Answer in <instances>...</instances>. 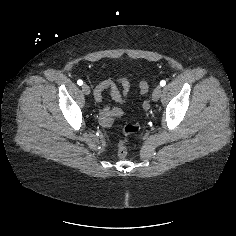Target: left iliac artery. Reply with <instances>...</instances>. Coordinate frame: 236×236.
<instances>
[{"label": "left iliac artery", "instance_id": "obj_1", "mask_svg": "<svg viewBox=\"0 0 236 236\" xmlns=\"http://www.w3.org/2000/svg\"><path fill=\"white\" fill-rule=\"evenodd\" d=\"M166 85V81L165 80H162V81H160V86H165Z\"/></svg>", "mask_w": 236, "mask_h": 236}]
</instances>
